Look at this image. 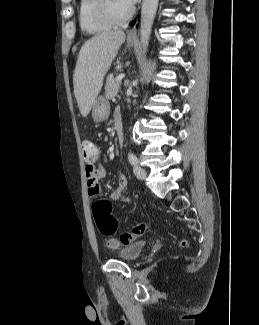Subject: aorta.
<instances>
[{"instance_id":"1","label":"aorta","mask_w":259,"mask_h":325,"mask_svg":"<svg viewBox=\"0 0 259 325\" xmlns=\"http://www.w3.org/2000/svg\"><path fill=\"white\" fill-rule=\"evenodd\" d=\"M159 0H143L140 22V41L143 50L146 51L151 35L152 25L155 19Z\"/></svg>"}]
</instances>
